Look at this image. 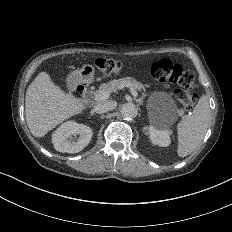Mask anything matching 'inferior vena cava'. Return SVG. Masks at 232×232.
Returning a JSON list of instances; mask_svg holds the SVG:
<instances>
[{
	"label": "inferior vena cava",
	"instance_id": "1",
	"mask_svg": "<svg viewBox=\"0 0 232 232\" xmlns=\"http://www.w3.org/2000/svg\"><path fill=\"white\" fill-rule=\"evenodd\" d=\"M115 107H116V103L114 101H107V102L97 104L95 106V111L97 113H107L113 110Z\"/></svg>",
	"mask_w": 232,
	"mask_h": 232
}]
</instances>
